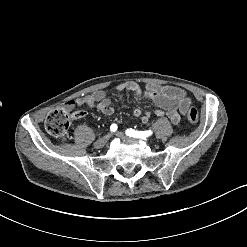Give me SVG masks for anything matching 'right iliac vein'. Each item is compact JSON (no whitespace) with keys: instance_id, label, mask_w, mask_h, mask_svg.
Returning <instances> with one entry per match:
<instances>
[{"instance_id":"1","label":"right iliac vein","mask_w":247,"mask_h":247,"mask_svg":"<svg viewBox=\"0 0 247 247\" xmlns=\"http://www.w3.org/2000/svg\"><path fill=\"white\" fill-rule=\"evenodd\" d=\"M111 135L110 134H107L101 138H99L95 143H94V147L99 149V148H102L106 142L110 139Z\"/></svg>"}]
</instances>
